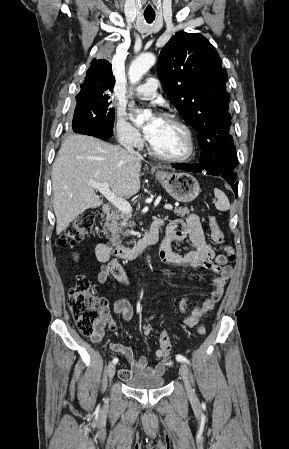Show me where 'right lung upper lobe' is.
<instances>
[{
  "instance_id": "right-lung-upper-lobe-1",
  "label": "right lung upper lobe",
  "mask_w": 289,
  "mask_h": 449,
  "mask_svg": "<svg viewBox=\"0 0 289 449\" xmlns=\"http://www.w3.org/2000/svg\"><path fill=\"white\" fill-rule=\"evenodd\" d=\"M84 83L81 84L79 94H93L98 91H111L115 84L111 64L107 59H99L92 62L87 70Z\"/></svg>"
}]
</instances>
